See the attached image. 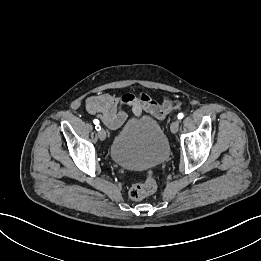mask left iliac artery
Listing matches in <instances>:
<instances>
[{
	"instance_id": "left-iliac-artery-1",
	"label": "left iliac artery",
	"mask_w": 261,
	"mask_h": 261,
	"mask_svg": "<svg viewBox=\"0 0 261 261\" xmlns=\"http://www.w3.org/2000/svg\"><path fill=\"white\" fill-rule=\"evenodd\" d=\"M183 117H184L183 113H179L178 116H177L178 119H182Z\"/></svg>"
}]
</instances>
